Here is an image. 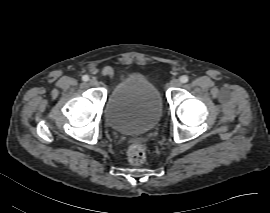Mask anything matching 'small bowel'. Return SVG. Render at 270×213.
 <instances>
[{
    "mask_svg": "<svg viewBox=\"0 0 270 213\" xmlns=\"http://www.w3.org/2000/svg\"><path fill=\"white\" fill-rule=\"evenodd\" d=\"M102 74L106 77L112 78L114 76V69L111 66H105L102 69Z\"/></svg>",
    "mask_w": 270,
    "mask_h": 213,
    "instance_id": "c3829d8e",
    "label": "small bowel"
}]
</instances>
